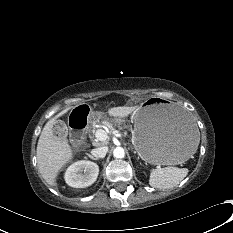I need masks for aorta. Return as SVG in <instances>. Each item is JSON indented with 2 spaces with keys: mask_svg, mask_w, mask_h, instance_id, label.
Listing matches in <instances>:
<instances>
[{
  "mask_svg": "<svg viewBox=\"0 0 233 233\" xmlns=\"http://www.w3.org/2000/svg\"><path fill=\"white\" fill-rule=\"evenodd\" d=\"M113 156H114L115 158H119V159L124 158V156H125V151H124V149H123L122 147H116V148L114 149V151H113Z\"/></svg>",
  "mask_w": 233,
  "mask_h": 233,
  "instance_id": "obj_1",
  "label": "aorta"
}]
</instances>
